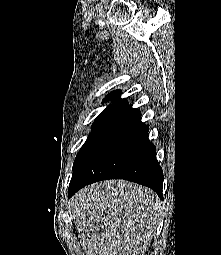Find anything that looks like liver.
<instances>
[{
  "label": "liver",
  "mask_w": 221,
  "mask_h": 255,
  "mask_svg": "<svg viewBox=\"0 0 221 255\" xmlns=\"http://www.w3.org/2000/svg\"><path fill=\"white\" fill-rule=\"evenodd\" d=\"M70 208L87 255H145L162 216L152 190L123 180L83 188Z\"/></svg>",
  "instance_id": "liver-1"
}]
</instances>
